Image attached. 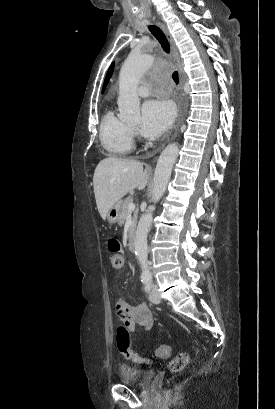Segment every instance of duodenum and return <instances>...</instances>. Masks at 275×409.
Instances as JSON below:
<instances>
[{
	"mask_svg": "<svg viewBox=\"0 0 275 409\" xmlns=\"http://www.w3.org/2000/svg\"><path fill=\"white\" fill-rule=\"evenodd\" d=\"M127 245H128V249H129L131 252H134V251H135V233H134L133 231H131L130 234H129V236H128Z\"/></svg>",
	"mask_w": 275,
	"mask_h": 409,
	"instance_id": "obj_1",
	"label": "duodenum"
}]
</instances>
